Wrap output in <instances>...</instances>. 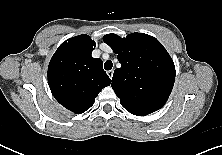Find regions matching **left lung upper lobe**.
Here are the masks:
<instances>
[{
    "mask_svg": "<svg viewBox=\"0 0 222 155\" xmlns=\"http://www.w3.org/2000/svg\"><path fill=\"white\" fill-rule=\"evenodd\" d=\"M103 40L118 54L122 65L115 69L111 84L121 105L138 116L162 108L175 81L174 62L162 44L143 33L126 38L108 34Z\"/></svg>",
    "mask_w": 222,
    "mask_h": 155,
    "instance_id": "1",
    "label": "left lung upper lobe"
}]
</instances>
